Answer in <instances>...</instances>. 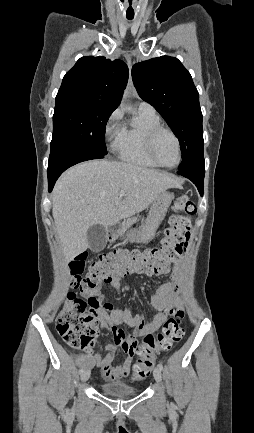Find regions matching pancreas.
<instances>
[{"label": "pancreas", "mask_w": 254, "mask_h": 433, "mask_svg": "<svg viewBox=\"0 0 254 433\" xmlns=\"http://www.w3.org/2000/svg\"><path fill=\"white\" fill-rule=\"evenodd\" d=\"M137 221V217H130L121 224L119 234L122 235L131 225Z\"/></svg>", "instance_id": "1"}]
</instances>
